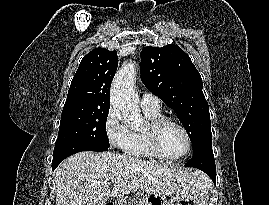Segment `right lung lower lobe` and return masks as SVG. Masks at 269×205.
<instances>
[{
    "label": "right lung lower lobe",
    "instance_id": "1",
    "mask_svg": "<svg viewBox=\"0 0 269 205\" xmlns=\"http://www.w3.org/2000/svg\"><path fill=\"white\" fill-rule=\"evenodd\" d=\"M108 148L94 144L65 143L56 145L53 152L52 170L55 169L66 157L81 151H107Z\"/></svg>",
    "mask_w": 269,
    "mask_h": 205
}]
</instances>
